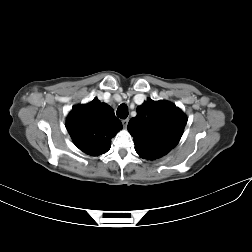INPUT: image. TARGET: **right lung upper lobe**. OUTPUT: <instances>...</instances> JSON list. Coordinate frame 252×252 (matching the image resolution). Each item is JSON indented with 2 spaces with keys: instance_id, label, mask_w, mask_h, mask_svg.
<instances>
[{
  "instance_id": "cb5924a9",
  "label": "right lung upper lobe",
  "mask_w": 252,
  "mask_h": 252,
  "mask_svg": "<svg viewBox=\"0 0 252 252\" xmlns=\"http://www.w3.org/2000/svg\"><path fill=\"white\" fill-rule=\"evenodd\" d=\"M66 128L81 151L99 156L110 149L111 139L122 129V124L109 105L94 98L72 109L66 120Z\"/></svg>"
}]
</instances>
